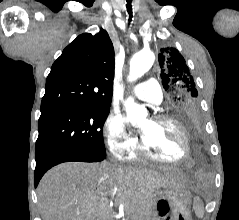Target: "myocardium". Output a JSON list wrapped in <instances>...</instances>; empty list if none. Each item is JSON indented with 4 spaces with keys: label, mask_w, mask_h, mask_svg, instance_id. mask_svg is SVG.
Wrapping results in <instances>:
<instances>
[{
    "label": "myocardium",
    "mask_w": 239,
    "mask_h": 220,
    "mask_svg": "<svg viewBox=\"0 0 239 220\" xmlns=\"http://www.w3.org/2000/svg\"><path fill=\"white\" fill-rule=\"evenodd\" d=\"M152 120L155 122H160V123L173 124L180 130L182 137H183V141H184V153L180 158L175 159V160H170V159L160 157V156L154 154L147 147V145L145 144L143 139L141 140V142L139 144L140 153L150 160L164 163V164L174 165V164H180V163L186 161L189 158L190 153H191L190 138H189L186 127L178 119H176L175 117L168 115V114H156L153 116Z\"/></svg>",
    "instance_id": "myocardium-1"
}]
</instances>
